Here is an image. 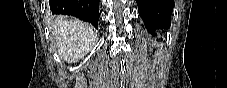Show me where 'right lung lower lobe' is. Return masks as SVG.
I'll list each match as a JSON object with an SVG mask.
<instances>
[{
    "mask_svg": "<svg viewBox=\"0 0 227 88\" xmlns=\"http://www.w3.org/2000/svg\"><path fill=\"white\" fill-rule=\"evenodd\" d=\"M53 14L71 15L98 28L99 0H49Z\"/></svg>",
    "mask_w": 227,
    "mask_h": 88,
    "instance_id": "right-lung-lower-lobe-1",
    "label": "right lung lower lobe"
}]
</instances>
